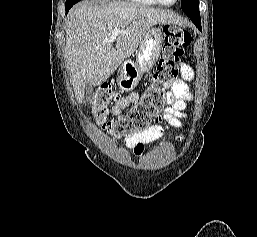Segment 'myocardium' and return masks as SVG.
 Here are the masks:
<instances>
[{
  "mask_svg": "<svg viewBox=\"0 0 257 237\" xmlns=\"http://www.w3.org/2000/svg\"><path fill=\"white\" fill-rule=\"evenodd\" d=\"M157 4H159V5H162V6H174V5H176L178 2H179V0H175V1H173L172 3H167V2H164V1H162V0H154Z\"/></svg>",
  "mask_w": 257,
  "mask_h": 237,
  "instance_id": "f54148a6",
  "label": "myocardium"
}]
</instances>
